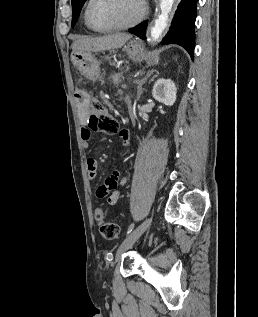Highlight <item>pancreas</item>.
<instances>
[{"label": "pancreas", "instance_id": "pancreas-1", "mask_svg": "<svg viewBox=\"0 0 258 317\" xmlns=\"http://www.w3.org/2000/svg\"><path fill=\"white\" fill-rule=\"evenodd\" d=\"M113 82L116 84V92H119L120 95H125V87L124 86H121V82H122V79L120 77H115L113 79Z\"/></svg>", "mask_w": 258, "mask_h": 317}]
</instances>
